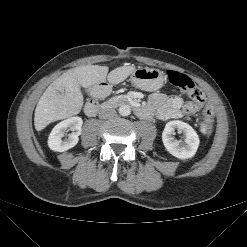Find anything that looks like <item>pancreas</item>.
Here are the masks:
<instances>
[{
  "instance_id": "cf45deb5",
  "label": "pancreas",
  "mask_w": 247,
  "mask_h": 247,
  "mask_svg": "<svg viewBox=\"0 0 247 247\" xmlns=\"http://www.w3.org/2000/svg\"><path fill=\"white\" fill-rule=\"evenodd\" d=\"M126 100H127V98L124 95L114 96V97L108 99L103 105L116 107V106L124 103Z\"/></svg>"
}]
</instances>
